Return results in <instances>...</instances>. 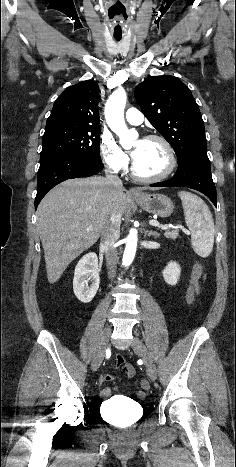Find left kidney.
<instances>
[{
  "instance_id": "5707ae66",
  "label": "left kidney",
  "mask_w": 236,
  "mask_h": 467,
  "mask_svg": "<svg viewBox=\"0 0 236 467\" xmlns=\"http://www.w3.org/2000/svg\"><path fill=\"white\" fill-rule=\"evenodd\" d=\"M181 273V268L176 262H169L163 270V278L165 282L171 286L177 284Z\"/></svg>"
}]
</instances>
